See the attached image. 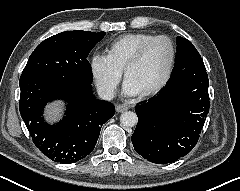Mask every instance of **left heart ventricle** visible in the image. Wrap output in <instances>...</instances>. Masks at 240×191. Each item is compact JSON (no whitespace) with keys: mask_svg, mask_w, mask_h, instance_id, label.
<instances>
[{"mask_svg":"<svg viewBox=\"0 0 240 191\" xmlns=\"http://www.w3.org/2000/svg\"><path fill=\"white\" fill-rule=\"evenodd\" d=\"M170 47L164 40L154 42L147 50L142 61L127 74L141 92L156 86L164 77L169 61Z\"/></svg>","mask_w":240,"mask_h":191,"instance_id":"obj_1","label":"left heart ventricle"}]
</instances>
